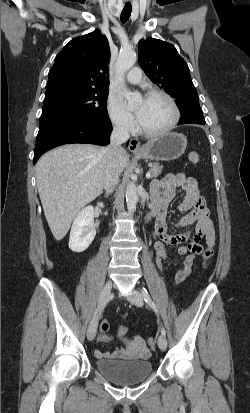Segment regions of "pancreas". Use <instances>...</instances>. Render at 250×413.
Returning a JSON list of instances; mask_svg holds the SVG:
<instances>
[{
  "instance_id": "cf45deb5",
  "label": "pancreas",
  "mask_w": 250,
  "mask_h": 413,
  "mask_svg": "<svg viewBox=\"0 0 250 413\" xmlns=\"http://www.w3.org/2000/svg\"><path fill=\"white\" fill-rule=\"evenodd\" d=\"M162 168L163 167L159 163H155L152 165L149 172L152 177H157L161 173Z\"/></svg>"
}]
</instances>
